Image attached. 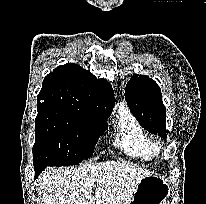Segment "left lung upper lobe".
Returning <instances> with one entry per match:
<instances>
[{"mask_svg":"<svg viewBox=\"0 0 206 204\" xmlns=\"http://www.w3.org/2000/svg\"><path fill=\"white\" fill-rule=\"evenodd\" d=\"M128 106L148 132L166 137V108L158 84L148 76L134 74L126 85Z\"/></svg>","mask_w":206,"mask_h":204,"instance_id":"left-lung-upper-lobe-1","label":"left lung upper lobe"}]
</instances>
